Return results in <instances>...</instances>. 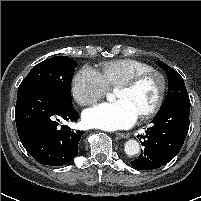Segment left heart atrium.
I'll return each instance as SVG.
<instances>
[{
    "label": "left heart atrium",
    "instance_id": "left-heart-atrium-1",
    "mask_svg": "<svg viewBox=\"0 0 201 201\" xmlns=\"http://www.w3.org/2000/svg\"><path fill=\"white\" fill-rule=\"evenodd\" d=\"M138 118V114L123 100L102 103L83 113L85 125L108 131L129 128Z\"/></svg>",
    "mask_w": 201,
    "mask_h": 201
}]
</instances>
